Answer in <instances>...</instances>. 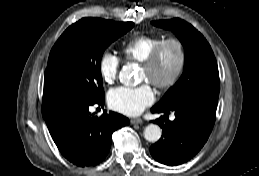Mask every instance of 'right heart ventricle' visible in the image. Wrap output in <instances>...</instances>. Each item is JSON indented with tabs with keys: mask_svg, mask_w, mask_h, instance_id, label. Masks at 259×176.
<instances>
[{
	"mask_svg": "<svg viewBox=\"0 0 259 176\" xmlns=\"http://www.w3.org/2000/svg\"><path fill=\"white\" fill-rule=\"evenodd\" d=\"M163 39L162 35L133 36L124 44L122 53L126 60L141 63Z\"/></svg>",
	"mask_w": 259,
	"mask_h": 176,
	"instance_id": "obj_1",
	"label": "right heart ventricle"
}]
</instances>
